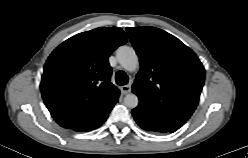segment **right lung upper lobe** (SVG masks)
<instances>
[{
  "mask_svg": "<svg viewBox=\"0 0 248 158\" xmlns=\"http://www.w3.org/2000/svg\"><path fill=\"white\" fill-rule=\"evenodd\" d=\"M127 41L118 27L79 33L47 59L40 84L44 103L56 122L73 129L102 116L118 101L110 82L108 57Z\"/></svg>",
  "mask_w": 248,
  "mask_h": 158,
  "instance_id": "1",
  "label": "right lung upper lobe"
}]
</instances>
